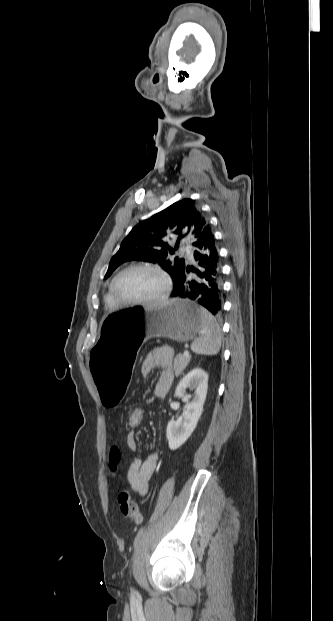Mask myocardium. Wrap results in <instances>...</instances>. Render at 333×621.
I'll return each instance as SVG.
<instances>
[{
    "label": "myocardium",
    "mask_w": 333,
    "mask_h": 621,
    "mask_svg": "<svg viewBox=\"0 0 333 621\" xmlns=\"http://www.w3.org/2000/svg\"><path fill=\"white\" fill-rule=\"evenodd\" d=\"M134 270H149L157 273L164 282V291L155 298L152 299H143V300H124L117 293V282L119 279L128 272ZM172 290V281L168 273L159 265L152 263H137L130 265L123 270H121L112 280L110 284V291L112 297L118 306H138V305H155L164 302L170 295Z\"/></svg>",
    "instance_id": "1"
}]
</instances>
